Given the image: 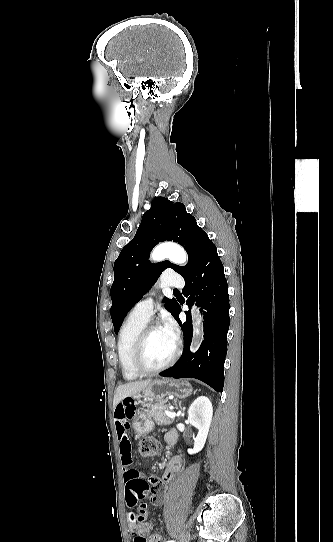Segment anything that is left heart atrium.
Listing matches in <instances>:
<instances>
[{
	"instance_id": "39dd6f15",
	"label": "left heart atrium",
	"mask_w": 333,
	"mask_h": 542,
	"mask_svg": "<svg viewBox=\"0 0 333 542\" xmlns=\"http://www.w3.org/2000/svg\"><path fill=\"white\" fill-rule=\"evenodd\" d=\"M161 329L174 342H176L178 340L179 329H178L177 324L174 321V319L171 318L170 316H165L163 318Z\"/></svg>"
}]
</instances>
